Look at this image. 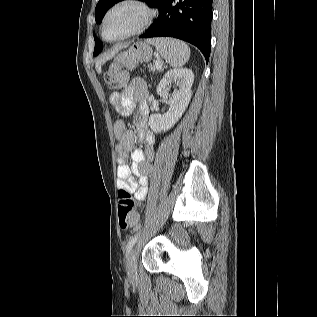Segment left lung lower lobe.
<instances>
[{
	"instance_id": "left-lung-lower-lobe-1",
	"label": "left lung lower lobe",
	"mask_w": 317,
	"mask_h": 317,
	"mask_svg": "<svg viewBox=\"0 0 317 317\" xmlns=\"http://www.w3.org/2000/svg\"><path fill=\"white\" fill-rule=\"evenodd\" d=\"M159 16L140 38L174 37L210 56L212 0H163Z\"/></svg>"
}]
</instances>
